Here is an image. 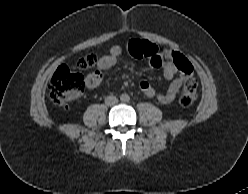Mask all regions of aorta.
<instances>
[{"instance_id": "aorta-1", "label": "aorta", "mask_w": 248, "mask_h": 194, "mask_svg": "<svg viewBox=\"0 0 248 194\" xmlns=\"http://www.w3.org/2000/svg\"><path fill=\"white\" fill-rule=\"evenodd\" d=\"M120 100H121L122 102H129L130 96H129L128 94H122V95L120 96Z\"/></svg>"}]
</instances>
